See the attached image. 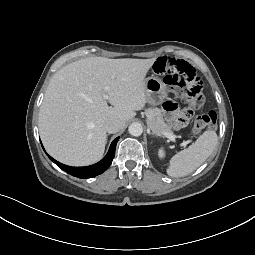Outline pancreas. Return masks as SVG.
Returning <instances> with one entry per match:
<instances>
[{
    "instance_id": "1",
    "label": "pancreas",
    "mask_w": 255,
    "mask_h": 255,
    "mask_svg": "<svg viewBox=\"0 0 255 255\" xmlns=\"http://www.w3.org/2000/svg\"><path fill=\"white\" fill-rule=\"evenodd\" d=\"M145 114L147 116L148 127L155 135H163V132L173 134L171 126L165 123L160 109L148 108Z\"/></svg>"
}]
</instances>
